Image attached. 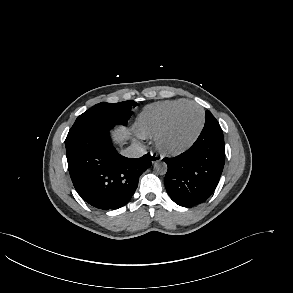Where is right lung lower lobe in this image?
<instances>
[{"instance_id":"1","label":"right lung lower lobe","mask_w":293,"mask_h":293,"mask_svg":"<svg viewBox=\"0 0 293 293\" xmlns=\"http://www.w3.org/2000/svg\"><path fill=\"white\" fill-rule=\"evenodd\" d=\"M106 127L86 133L66 145V156L73 185L90 205L118 209L134 194L139 176L151 166L146 154L130 159L117 153Z\"/></svg>"}]
</instances>
